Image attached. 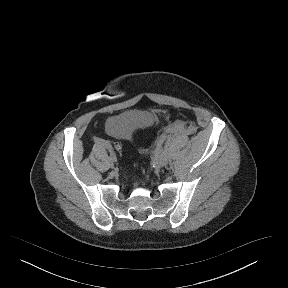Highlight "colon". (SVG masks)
<instances>
[{"label": "colon", "instance_id": "1", "mask_svg": "<svg viewBox=\"0 0 288 288\" xmlns=\"http://www.w3.org/2000/svg\"><path fill=\"white\" fill-rule=\"evenodd\" d=\"M115 148H116L117 151H120V152L122 150V147H121L120 144H115Z\"/></svg>", "mask_w": 288, "mask_h": 288}]
</instances>
